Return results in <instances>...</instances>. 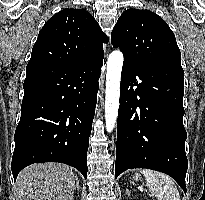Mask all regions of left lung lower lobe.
Wrapping results in <instances>:
<instances>
[{
	"label": "left lung lower lobe",
	"mask_w": 205,
	"mask_h": 200,
	"mask_svg": "<svg viewBox=\"0 0 205 200\" xmlns=\"http://www.w3.org/2000/svg\"><path fill=\"white\" fill-rule=\"evenodd\" d=\"M184 71L176 59L123 63L115 177L131 168L170 175L186 193Z\"/></svg>",
	"instance_id": "1"
}]
</instances>
